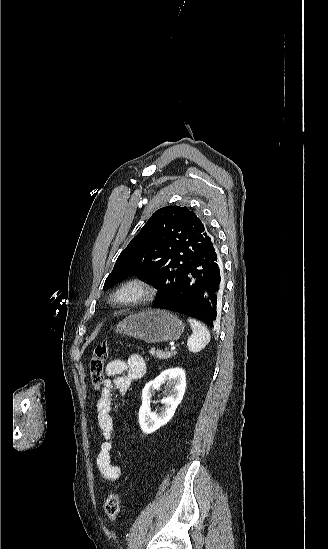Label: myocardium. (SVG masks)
<instances>
[{
    "mask_svg": "<svg viewBox=\"0 0 328 549\" xmlns=\"http://www.w3.org/2000/svg\"><path fill=\"white\" fill-rule=\"evenodd\" d=\"M154 286L145 278L131 276L120 281L107 295V303L116 309H127L148 302L154 295Z\"/></svg>",
    "mask_w": 328,
    "mask_h": 549,
    "instance_id": "f54148a6",
    "label": "myocardium"
}]
</instances>
